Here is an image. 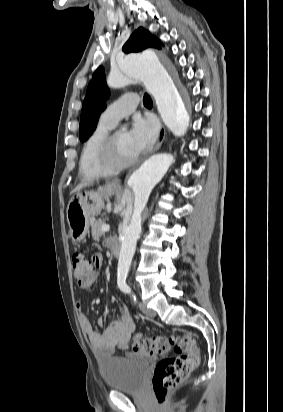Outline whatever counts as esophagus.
I'll return each instance as SVG.
<instances>
[{
	"instance_id": "obj_1",
	"label": "esophagus",
	"mask_w": 283,
	"mask_h": 412,
	"mask_svg": "<svg viewBox=\"0 0 283 412\" xmlns=\"http://www.w3.org/2000/svg\"><path fill=\"white\" fill-rule=\"evenodd\" d=\"M165 135H166V129H165L164 125L162 124L161 127H160V130H159V133H158L157 143H156V145H155L152 152L157 151L161 147V145H162V143L165 139ZM119 183H120V181L118 179H115V180L112 181V185H118Z\"/></svg>"
}]
</instances>
